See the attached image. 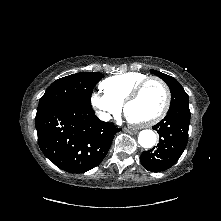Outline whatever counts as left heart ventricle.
<instances>
[{"mask_svg":"<svg viewBox=\"0 0 221 221\" xmlns=\"http://www.w3.org/2000/svg\"><path fill=\"white\" fill-rule=\"evenodd\" d=\"M164 101L162 87L156 82H150L139 97L128 106L127 117L134 122L146 121L160 112Z\"/></svg>","mask_w":221,"mask_h":221,"instance_id":"b2bd125f","label":"left heart ventricle"}]
</instances>
